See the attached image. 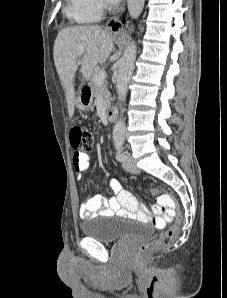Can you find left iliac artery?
<instances>
[{
    "instance_id": "44dca946",
    "label": "left iliac artery",
    "mask_w": 227,
    "mask_h": 298,
    "mask_svg": "<svg viewBox=\"0 0 227 298\" xmlns=\"http://www.w3.org/2000/svg\"><path fill=\"white\" fill-rule=\"evenodd\" d=\"M123 144H124V138L122 137L115 138L114 145L117 151L116 159L118 161H124L127 158L126 153L122 152Z\"/></svg>"
}]
</instances>
